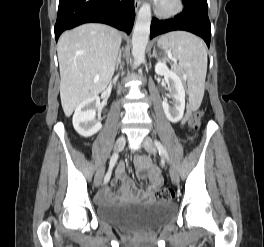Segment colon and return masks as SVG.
I'll return each mask as SVG.
<instances>
[{
    "label": "colon",
    "mask_w": 264,
    "mask_h": 247,
    "mask_svg": "<svg viewBox=\"0 0 264 247\" xmlns=\"http://www.w3.org/2000/svg\"><path fill=\"white\" fill-rule=\"evenodd\" d=\"M202 117H203L202 111L197 110L193 112L190 120V125L193 129L197 130L199 128ZM157 197L159 200L169 201L175 197V192L171 188H163L160 191H158Z\"/></svg>",
    "instance_id": "obj_1"
}]
</instances>
